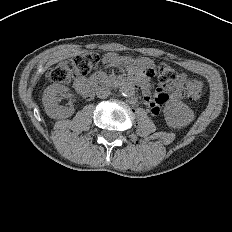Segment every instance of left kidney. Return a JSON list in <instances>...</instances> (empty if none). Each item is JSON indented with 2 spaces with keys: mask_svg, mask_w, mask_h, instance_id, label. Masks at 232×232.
I'll use <instances>...</instances> for the list:
<instances>
[{
  "mask_svg": "<svg viewBox=\"0 0 232 232\" xmlns=\"http://www.w3.org/2000/svg\"><path fill=\"white\" fill-rule=\"evenodd\" d=\"M164 117L167 125L172 128H182L194 120V113L182 101L174 100L164 108Z\"/></svg>",
  "mask_w": 232,
  "mask_h": 232,
  "instance_id": "5707ae66",
  "label": "left kidney"
}]
</instances>
